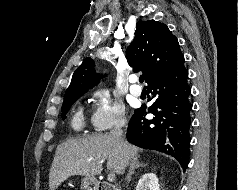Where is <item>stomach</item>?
I'll list each match as a JSON object with an SVG mask.
<instances>
[{
    "instance_id": "stomach-1",
    "label": "stomach",
    "mask_w": 238,
    "mask_h": 190,
    "mask_svg": "<svg viewBox=\"0 0 238 190\" xmlns=\"http://www.w3.org/2000/svg\"><path fill=\"white\" fill-rule=\"evenodd\" d=\"M97 184V180L91 177H84L81 181L83 190H96Z\"/></svg>"
}]
</instances>
